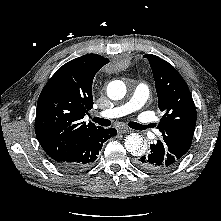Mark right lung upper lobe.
<instances>
[{"mask_svg":"<svg viewBox=\"0 0 221 221\" xmlns=\"http://www.w3.org/2000/svg\"><path fill=\"white\" fill-rule=\"evenodd\" d=\"M109 60L86 54L60 67L42 89L35 132L44 151L56 160L100 128L82 121L93 105L92 82Z\"/></svg>","mask_w":221,"mask_h":221,"instance_id":"1","label":"right lung upper lobe"}]
</instances>
